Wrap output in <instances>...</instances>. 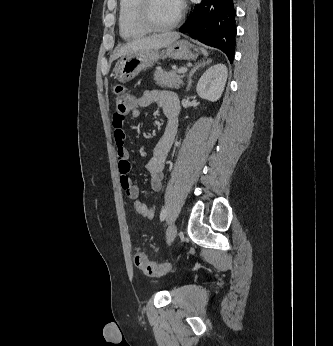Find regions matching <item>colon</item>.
I'll return each mask as SVG.
<instances>
[{
    "label": "colon",
    "instance_id": "1",
    "mask_svg": "<svg viewBox=\"0 0 333 346\" xmlns=\"http://www.w3.org/2000/svg\"><path fill=\"white\" fill-rule=\"evenodd\" d=\"M116 112L114 116H125L134 108L135 99L123 86L117 85L114 89ZM134 263L145 275L160 277L170 270L168 263H157L150 261L146 255L137 250L134 254Z\"/></svg>",
    "mask_w": 333,
    "mask_h": 346
}]
</instances>
